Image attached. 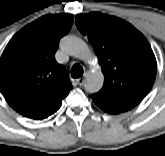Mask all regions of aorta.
Segmentation results:
<instances>
[{
  "mask_svg": "<svg viewBox=\"0 0 165 156\" xmlns=\"http://www.w3.org/2000/svg\"><path fill=\"white\" fill-rule=\"evenodd\" d=\"M62 50L70 56L88 61L93 57V53L88 45L80 38L75 36H67L61 42ZM104 83V75L100 68L91 70L84 83L85 90L89 93L98 92Z\"/></svg>",
  "mask_w": 165,
  "mask_h": 156,
  "instance_id": "762f6f07",
  "label": "aorta"
}]
</instances>
